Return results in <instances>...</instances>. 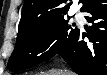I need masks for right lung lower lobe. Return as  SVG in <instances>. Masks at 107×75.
Instances as JSON below:
<instances>
[{
    "instance_id": "obj_1",
    "label": "right lung lower lobe",
    "mask_w": 107,
    "mask_h": 75,
    "mask_svg": "<svg viewBox=\"0 0 107 75\" xmlns=\"http://www.w3.org/2000/svg\"><path fill=\"white\" fill-rule=\"evenodd\" d=\"M81 12L93 25L86 32L79 29L57 54L79 75H107V0H85Z\"/></svg>"
}]
</instances>
